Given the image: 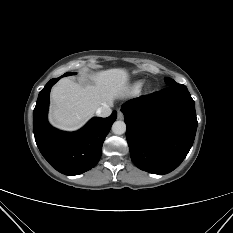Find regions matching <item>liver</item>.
Here are the masks:
<instances>
[{
  "label": "liver",
  "mask_w": 233,
  "mask_h": 233,
  "mask_svg": "<svg viewBox=\"0 0 233 233\" xmlns=\"http://www.w3.org/2000/svg\"><path fill=\"white\" fill-rule=\"evenodd\" d=\"M93 84L81 86L62 78L51 90L50 123L65 131L81 128L103 106H112L115 99L128 92L129 75L125 69L114 68L93 73Z\"/></svg>",
  "instance_id": "1"
}]
</instances>
